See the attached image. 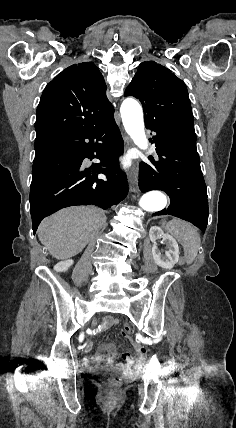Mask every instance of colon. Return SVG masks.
<instances>
[{
	"label": "colon",
	"instance_id": "colon-1",
	"mask_svg": "<svg viewBox=\"0 0 236 428\" xmlns=\"http://www.w3.org/2000/svg\"><path fill=\"white\" fill-rule=\"evenodd\" d=\"M131 332V327L127 324L123 327V334L127 335ZM122 385L120 377H112L107 380V386L111 390H117Z\"/></svg>",
	"mask_w": 236,
	"mask_h": 428
}]
</instances>
